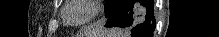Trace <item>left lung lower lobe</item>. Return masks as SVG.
<instances>
[{
    "label": "left lung lower lobe",
    "mask_w": 219,
    "mask_h": 37,
    "mask_svg": "<svg viewBox=\"0 0 219 37\" xmlns=\"http://www.w3.org/2000/svg\"><path fill=\"white\" fill-rule=\"evenodd\" d=\"M153 5V0H119L105 26L130 27L132 37H153Z\"/></svg>",
    "instance_id": "left-lung-lower-lobe-1"
}]
</instances>
